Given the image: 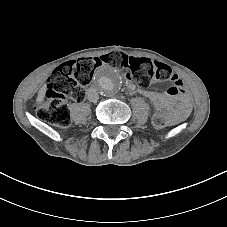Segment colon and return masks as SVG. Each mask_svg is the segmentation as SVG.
I'll return each instance as SVG.
<instances>
[{"label":"colon","instance_id":"1","mask_svg":"<svg viewBox=\"0 0 227 227\" xmlns=\"http://www.w3.org/2000/svg\"><path fill=\"white\" fill-rule=\"evenodd\" d=\"M104 65L124 71L142 88L154 83L170 82L171 86L167 90L170 96L184 92L182 80L166 64L112 52L98 58L69 61L57 67L48 79L45 99L37 106L39 118L60 128L70 126L71 116L67 98L82 101L85 87L90 83L95 69ZM152 125L157 129L164 128L168 125V119L162 113H155Z\"/></svg>","mask_w":227,"mask_h":227}]
</instances>
